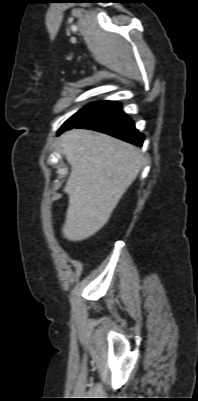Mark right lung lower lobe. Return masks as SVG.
I'll list each match as a JSON object with an SVG mask.
<instances>
[{
  "mask_svg": "<svg viewBox=\"0 0 198 401\" xmlns=\"http://www.w3.org/2000/svg\"><path fill=\"white\" fill-rule=\"evenodd\" d=\"M72 128L103 132L138 146H142L144 140L143 134L135 129L134 122L122 111L121 105L112 101H105L92 115Z\"/></svg>",
  "mask_w": 198,
  "mask_h": 401,
  "instance_id": "1",
  "label": "right lung lower lobe"
}]
</instances>
